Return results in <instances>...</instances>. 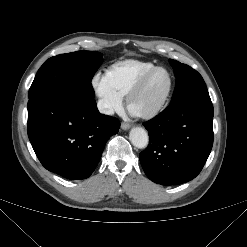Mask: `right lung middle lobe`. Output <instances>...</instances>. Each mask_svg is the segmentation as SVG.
Returning <instances> with one entry per match:
<instances>
[{
	"label": "right lung middle lobe",
	"instance_id": "1",
	"mask_svg": "<svg viewBox=\"0 0 247 247\" xmlns=\"http://www.w3.org/2000/svg\"><path fill=\"white\" fill-rule=\"evenodd\" d=\"M102 62V54L92 51L51 57L38 70L28 97L49 90H65L70 94L94 98L91 81Z\"/></svg>",
	"mask_w": 247,
	"mask_h": 247
}]
</instances>
